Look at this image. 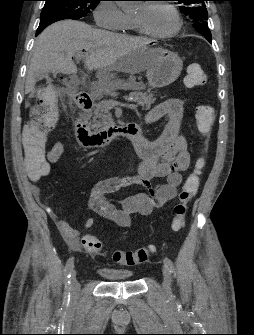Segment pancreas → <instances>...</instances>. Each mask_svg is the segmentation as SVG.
<instances>
[{
  "label": "pancreas",
  "mask_w": 254,
  "mask_h": 335,
  "mask_svg": "<svg viewBox=\"0 0 254 335\" xmlns=\"http://www.w3.org/2000/svg\"><path fill=\"white\" fill-rule=\"evenodd\" d=\"M130 97L132 98V101L137 102L143 110H149L156 100L153 93L142 91L131 92ZM112 123L113 118L110 113V108L106 105L105 101H100L96 104L93 110L92 128L102 129Z\"/></svg>",
  "instance_id": "1"
}]
</instances>
